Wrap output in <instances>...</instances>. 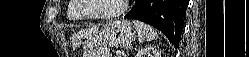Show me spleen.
Masks as SVG:
<instances>
[{"label":"spleen","instance_id":"spleen-1","mask_svg":"<svg viewBox=\"0 0 249 57\" xmlns=\"http://www.w3.org/2000/svg\"><path fill=\"white\" fill-rule=\"evenodd\" d=\"M134 26L138 31V41L139 43H143L145 41H151L158 38V33L151 26L138 21H133Z\"/></svg>","mask_w":249,"mask_h":57}]
</instances>
